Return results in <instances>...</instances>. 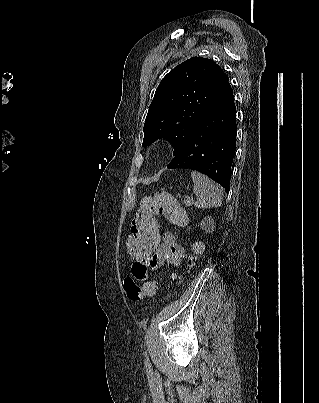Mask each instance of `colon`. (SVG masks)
<instances>
[{"label": "colon", "mask_w": 319, "mask_h": 403, "mask_svg": "<svg viewBox=\"0 0 319 403\" xmlns=\"http://www.w3.org/2000/svg\"><path fill=\"white\" fill-rule=\"evenodd\" d=\"M158 214L164 215L173 223H181L183 219L182 207L170 194L158 192L153 196L144 197L131 220L130 238H126L125 242L128 264H136L139 258H145L148 261V258L152 257L154 247L159 246L163 224L156 218ZM194 250L199 253L202 246L196 244ZM128 277L123 278V288L130 304L153 296L158 289L156 281H149L141 285V282L130 283Z\"/></svg>", "instance_id": "5ec220e1"}]
</instances>
